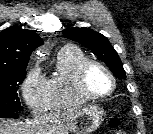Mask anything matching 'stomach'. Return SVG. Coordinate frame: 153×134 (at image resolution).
<instances>
[{
    "mask_svg": "<svg viewBox=\"0 0 153 134\" xmlns=\"http://www.w3.org/2000/svg\"><path fill=\"white\" fill-rule=\"evenodd\" d=\"M104 120V110L98 106L80 109L72 122L70 131L74 134H91Z\"/></svg>",
    "mask_w": 153,
    "mask_h": 134,
    "instance_id": "stomach-1",
    "label": "stomach"
}]
</instances>
